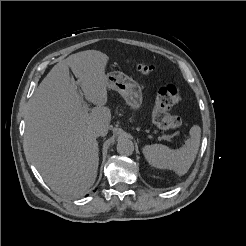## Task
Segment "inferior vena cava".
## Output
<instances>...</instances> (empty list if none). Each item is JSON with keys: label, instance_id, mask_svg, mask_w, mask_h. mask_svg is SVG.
Listing matches in <instances>:
<instances>
[{"label": "inferior vena cava", "instance_id": "obj_1", "mask_svg": "<svg viewBox=\"0 0 246 246\" xmlns=\"http://www.w3.org/2000/svg\"><path fill=\"white\" fill-rule=\"evenodd\" d=\"M105 132L106 130L104 127L98 126L93 128L92 135L97 138L99 136H104Z\"/></svg>", "mask_w": 246, "mask_h": 246}]
</instances>
